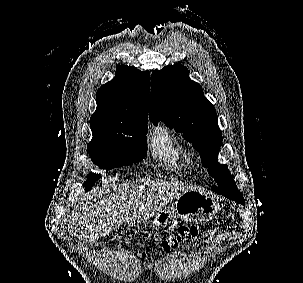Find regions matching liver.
<instances>
[{
  "label": "liver",
  "mask_w": 303,
  "mask_h": 283,
  "mask_svg": "<svg viewBox=\"0 0 303 283\" xmlns=\"http://www.w3.org/2000/svg\"><path fill=\"white\" fill-rule=\"evenodd\" d=\"M189 187L178 181L148 180L130 190L109 187L89 192L75 208L72 224L80 238L92 243L117 229L122 222H147Z\"/></svg>",
  "instance_id": "obj_1"
}]
</instances>
